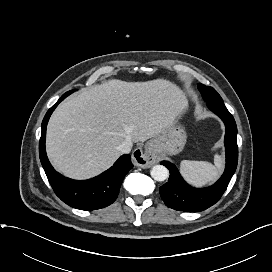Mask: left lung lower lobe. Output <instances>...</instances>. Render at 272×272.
I'll use <instances>...</instances> for the list:
<instances>
[{"label":"left lung lower lobe","instance_id":"0a47b994","mask_svg":"<svg viewBox=\"0 0 272 272\" xmlns=\"http://www.w3.org/2000/svg\"><path fill=\"white\" fill-rule=\"evenodd\" d=\"M207 106L223 120L226 127L224 140L226 148L225 171L212 186L197 189L183 180L175 165L168 161H162L161 164L169 169L170 176L168 182L160 187V195L165 204L175 210L200 212L214 205L225 192L237 167L238 147L235 120L224 103L214 102Z\"/></svg>","mask_w":272,"mask_h":272}]
</instances>
